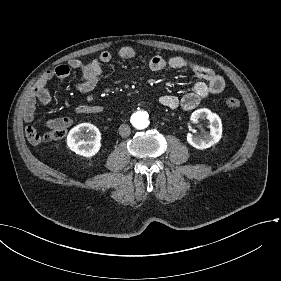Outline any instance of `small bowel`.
Here are the masks:
<instances>
[{
	"label": "small bowel",
	"mask_w": 281,
	"mask_h": 281,
	"mask_svg": "<svg viewBox=\"0 0 281 281\" xmlns=\"http://www.w3.org/2000/svg\"><path fill=\"white\" fill-rule=\"evenodd\" d=\"M117 55L122 60H131L139 57L138 52L131 47L120 48ZM111 59L112 56L109 52H102L98 58L89 62L73 59L68 65H60L53 71L45 72L33 86L31 96L26 102L23 112L25 122L30 123L33 121L38 102L48 104L51 101L52 97L46 86L54 77L64 81L69 77L71 71H76L80 74L77 82L78 90L82 93H88L95 88L101 78L103 73L102 66L109 63ZM148 65L153 72H161L165 69H188L200 79L195 83L192 91L185 95L164 94L159 98L160 104L172 110L190 111L197 107L201 100L208 95L219 94L225 89V80L221 75L211 68L198 65L182 56L165 58L160 55H154L149 59ZM75 112L77 114H101L104 112V107L101 105L83 104L77 106ZM54 123L50 122V125ZM25 137L32 144H39L42 141L41 136L32 126L26 127Z\"/></svg>",
	"instance_id": "small-bowel-1"
}]
</instances>
